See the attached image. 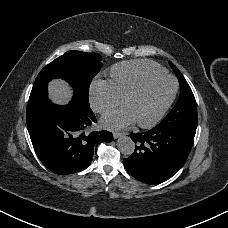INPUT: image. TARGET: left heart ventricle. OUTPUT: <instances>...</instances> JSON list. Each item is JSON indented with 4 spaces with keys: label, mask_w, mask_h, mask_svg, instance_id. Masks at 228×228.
<instances>
[{
    "label": "left heart ventricle",
    "mask_w": 228,
    "mask_h": 228,
    "mask_svg": "<svg viewBox=\"0 0 228 228\" xmlns=\"http://www.w3.org/2000/svg\"><path fill=\"white\" fill-rule=\"evenodd\" d=\"M172 81L161 78L154 81L138 96L127 104L137 121L146 123L151 121L159 112L170 95Z\"/></svg>",
    "instance_id": "1"
}]
</instances>
